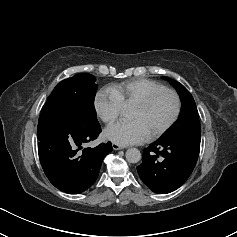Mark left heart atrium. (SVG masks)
Returning <instances> with one entry per match:
<instances>
[{"label": "left heart atrium", "instance_id": "1", "mask_svg": "<svg viewBox=\"0 0 237 237\" xmlns=\"http://www.w3.org/2000/svg\"><path fill=\"white\" fill-rule=\"evenodd\" d=\"M104 135L108 140L119 145L143 143L150 136L138 120L113 124L105 130Z\"/></svg>", "mask_w": 237, "mask_h": 237}]
</instances>
